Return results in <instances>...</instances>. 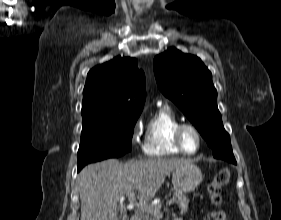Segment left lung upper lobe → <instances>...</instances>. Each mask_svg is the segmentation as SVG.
<instances>
[{"label":"left lung upper lobe","instance_id":"5c2ea615","mask_svg":"<svg viewBox=\"0 0 281 220\" xmlns=\"http://www.w3.org/2000/svg\"><path fill=\"white\" fill-rule=\"evenodd\" d=\"M153 66L159 89L195 125L214 157L236 164L217 107L212 74L200 58L170 48L154 58Z\"/></svg>","mask_w":281,"mask_h":220}]
</instances>
